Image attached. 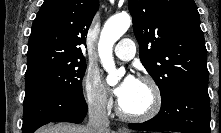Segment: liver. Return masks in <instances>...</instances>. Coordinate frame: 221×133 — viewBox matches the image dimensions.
Segmentation results:
<instances>
[{
	"label": "liver",
	"instance_id": "liver-1",
	"mask_svg": "<svg viewBox=\"0 0 221 133\" xmlns=\"http://www.w3.org/2000/svg\"><path fill=\"white\" fill-rule=\"evenodd\" d=\"M37 133H90V130L88 126L85 127L68 123H58L41 128L37 131Z\"/></svg>",
	"mask_w": 221,
	"mask_h": 133
}]
</instances>
